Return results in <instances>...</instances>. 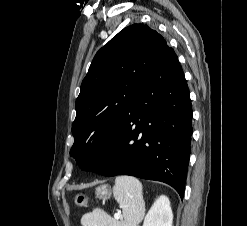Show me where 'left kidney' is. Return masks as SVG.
<instances>
[{
  "mask_svg": "<svg viewBox=\"0 0 247 226\" xmlns=\"http://www.w3.org/2000/svg\"><path fill=\"white\" fill-rule=\"evenodd\" d=\"M172 222L173 213L170 201L168 197L161 195L145 216L143 226H172Z\"/></svg>",
  "mask_w": 247,
  "mask_h": 226,
  "instance_id": "obj_1",
  "label": "left kidney"
}]
</instances>
